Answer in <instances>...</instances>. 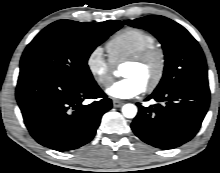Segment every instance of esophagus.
Here are the masks:
<instances>
[{
    "label": "esophagus",
    "mask_w": 220,
    "mask_h": 173,
    "mask_svg": "<svg viewBox=\"0 0 220 173\" xmlns=\"http://www.w3.org/2000/svg\"><path fill=\"white\" fill-rule=\"evenodd\" d=\"M123 104H124V102L121 101V100H118V99H114V100H113V106H114V107H120V106H122Z\"/></svg>",
    "instance_id": "obj_1"
}]
</instances>
